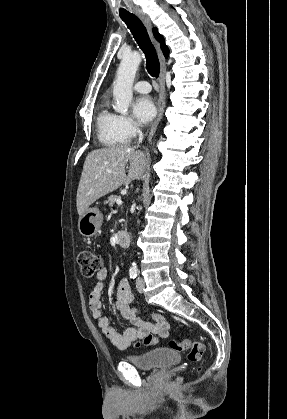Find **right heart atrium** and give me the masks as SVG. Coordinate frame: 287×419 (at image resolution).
Returning a JSON list of instances; mask_svg holds the SVG:
<instances>
[{"mask_svg": "<svg viewBox=\"0 0 287 419\" xmlns=\"http://www.w3.org/2000/svg\"><path fill=\"white\" fill-rule=\"evenodd\" d=\"M119 131L126 141H130L140 132L139 125L131 117L126 115L118 116Z\"/></svg>", "mask_w": 287, "mask_h": 419, "instance_id": "d8ad5b80", "label": "right heart atrium"}]
</instances>
